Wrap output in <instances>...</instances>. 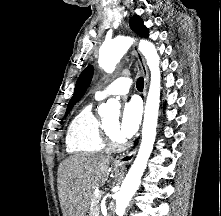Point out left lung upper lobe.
Here are the masks:
<instances>
[{
	"label": "left lung upper lobe",
	"mask_w": 221,
	"mask_h": 216,
	"mask_svg": "<svg viewBox=\"0 0 221 216\" xmlns=\"http://www.w3.org/2000/svg\"><path fill=\"white\" fill-rule=\"evenodd\" d=\"M130 27L133 31H135L138 35L147 37L148 36V29L143 25L142 19L138 16L132 17L130 20ZM93 76V67L88 66L79 76L77 79L76 85H75V91L73 97L70 99L69 103L67 105V111L68 112L72 109L75 103H77L81 97L84 95L85 91L87 90L91 79Z\"/></svg>",
	"instance_id": "1"
}]
</instances>
